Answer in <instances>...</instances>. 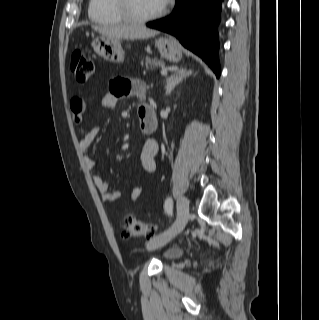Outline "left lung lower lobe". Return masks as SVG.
<instances>
[{
    "mask_svg": "<svg viewBox=\"0 0 319 320\" xmlns=\"http://www.w3.org/2000/svg\"><path fill=\"white\" fill-rule=\"evenodd\" d=\"M222 0H176L170 16L147 23L150 28L174 35L182 45L199 55L220 76L217 25Z\"/></svg>",
    "mask_w": 319,
    "mask_h": 320,
    "instance_id": "left-lung-lower-lobe-1",
    "label": "left lung lower lobe"
}]
</instances>
